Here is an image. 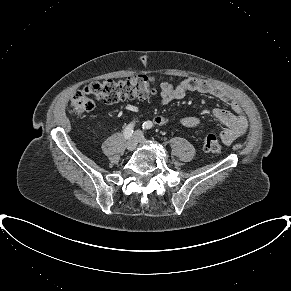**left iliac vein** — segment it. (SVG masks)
I'll return each mask as SVG.
<instances>
[{
    "label": "left iliac vein",
    "mask_w": 291,
    "mask_h": 291,
    "mask_svg": "<svg viewBox=\"0 0 291 291\" xmlns=\"http://www.w3.org/2000/svg\"><path fill=\"white\" fill-rule=\"evenodd\" d=\"M136 135L138 137V142L140 143H144L145 142V138L143 137V135L140 132H136Z\"/></svg>",
    "instance_id": "obj_1"
}]
</instances>
